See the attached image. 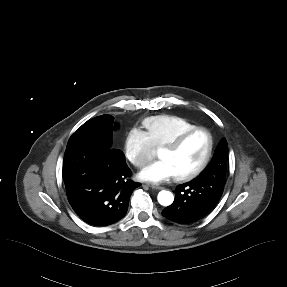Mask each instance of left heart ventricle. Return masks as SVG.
Masks as SVG:
<instances>
[{
	"label": "left heart ventricle",
	"mask_w": 287,
	"mask_h": 287,
	"mask_svg": "<svg viewBox=\"0 0 287 287\" xmlns=\"http://www.w3.org/2000/svg\"><path fill=\"white\" fill-rule=\"evenodd\" d=\"M208 147L205 133L198 132L190 137L177 151L161 149L158 157L169 163L175 176L183 175L196 168L203 160Z\"/></svg>",
	"instance_id": "b2bd125f"
}]
</instances>
